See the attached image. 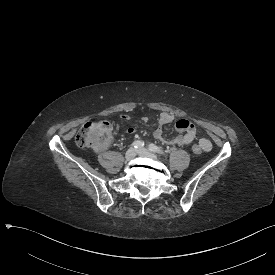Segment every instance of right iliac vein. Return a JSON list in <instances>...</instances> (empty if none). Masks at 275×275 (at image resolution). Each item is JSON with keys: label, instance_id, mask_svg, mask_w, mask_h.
I'll return each instance as SVG.
<instances>
[{"label": "right iliac vein", "instance_id": "63e3f726", "mask_svg": "<svg viewBox=\"0 0 275 275\" xmlns=\"http://www.w3.org/2000/svg\"><path fill=\"white\" fill-rule=\"evenodd\" d=\"M136 154H137V151L134 148H130L126 152L125 158H126V160L131 161V160H133L135 158Z\"/></svg>", "mask_w": 275, "mask_h": 275}]
</instances>
